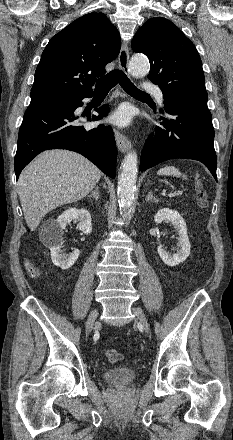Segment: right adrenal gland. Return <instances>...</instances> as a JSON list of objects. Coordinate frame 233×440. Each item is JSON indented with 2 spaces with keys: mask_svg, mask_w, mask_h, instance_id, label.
Wrapping results in <instances>:
<instances>
[{
  "mask_svg": "<svg viewBox=\"0 0 233 440\" xmlns=\"http://www.w3.org/2000/svg\"><path fill=\"white\" fill-rule=\"evenodd\" d=\"M88 197H93L96 201H98L100 198L99 187L96 186L94 191H92L91 195H88Z\"/></svg>",
  "mask_w": 233,
  "mask_h": 440,
  "instance_id": "1",
  "label": "right adrenal gland"
}]
</instances>
